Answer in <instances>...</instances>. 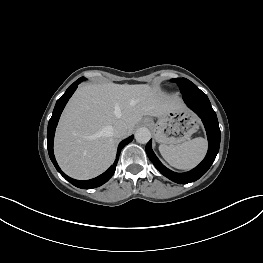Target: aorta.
I'll use <instances>...</instances> for the list:
<instances>
[{"mask_svg":"<svg viewBox=\"0 0 263 263\" xmlns=\"http://www.w3.org/2000/svg\"><path fill=\"white\" fill-rule=\"evenodd\" d=\"M135 139L138 143L146 144L151 139V132L148 128L141 127L136 130Z\"/></svg>","mask_w":263,"mask_h":263,"instance_id":"1","label":"aorta"}]
</instances>
